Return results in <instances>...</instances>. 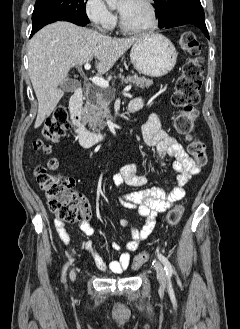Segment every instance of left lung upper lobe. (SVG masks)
Returning <instances> with one entry per match:
<instances>
[{
	"instance_id": "1",
	"label": "left lung upper lobe",
	"mask_w": 240,
	"mask_h": 329,
	"mask_svg": "<svg viewBox=\"0 0 240 329\" xmlns=\"http://www.w3.org/2000/svg\"><path fill=\"white\" fill-rule=\"evenodd\" d=\"M157 4L155 13L159 19V27L180 17L204 18L200 0H154Z\"/></svg>"
}]
</instances>
